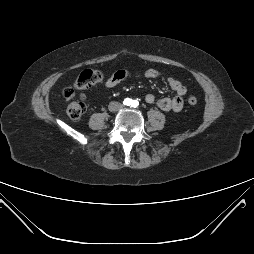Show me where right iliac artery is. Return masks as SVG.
I'll return each mask as SVG.
<instances>
[{"label": "right iliac artery", "mask_w": 254, "mask_h": 254, "mask_svg": "<svg viewBox=\"0 0 254 254\" xmlns=\"http://www.w3.org/2000/svg\"><path fill=\"white\" fill-rule=\"evenodd\" d=\"M123 104L126 105V106H130V105L132 104V100L129 99V98H126V99L124 100Z\"/></svg>", "instance_id": "82829eb1"}]
</instances>
